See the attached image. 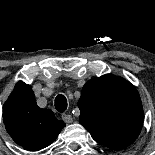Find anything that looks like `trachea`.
<instances>
[{
  "label": "trachea",
  "mask_w": 155,
  "mask_h": 155,
  "mask_svg": "<svg viewBox=\"0 0 155 155\" xmlns=\"http://www.w3.org/2000/svg\"><path fill=\"white\" fill-rule=\"evenodd\" d=\"M55 108L58 112L63 113L67 109V100L66 97L62 94H59L55 98Z\"/></svg>",
  "instance_id": "trachea-1"
}]
</instances>
